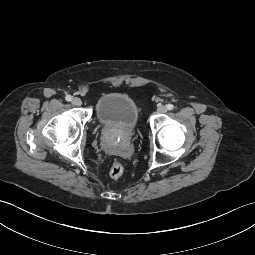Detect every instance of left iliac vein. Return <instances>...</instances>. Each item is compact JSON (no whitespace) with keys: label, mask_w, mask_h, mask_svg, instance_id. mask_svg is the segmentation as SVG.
<instances>
[{"label":"left iliac vein","mask_w":255,"mask_h":255,"mask_svg":"<svg viewBox=\"0 0 255 255\" xmlns=\"http://www.w3.org/2000/svg\"><path fill=\"white\" fill-rule=\"evenodd\" d=\"M157 111L160 114H165L167 112V107L166 106H159Z\"/></svg>","instance_id":"left-iliac-vein-1"}]
</instances>
